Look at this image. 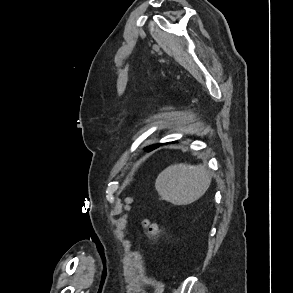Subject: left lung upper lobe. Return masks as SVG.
<instances>
[{
  "label": "left lung upper lobe",
  "instance_id": "5c2ea615",
  "mask_svg": "<svg viewBox=\"0 0 293 293\" xmlns=\"http://www.w3.org/2000/svg\"><path fill=\"white\" fill-rule=\"evenodd\" d=\"M151 148H152V146H150V147H147V148H146V150H149V149H151Z\"/></svg>",
  "mask_w": 293,
  "mask_h": 293
}]
</instances>
